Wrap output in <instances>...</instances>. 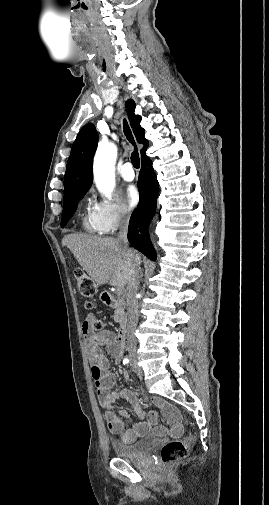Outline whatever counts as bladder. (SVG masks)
Segmentation results:
<instances>
[{"label": "bladder", "instance_id": "obj_1", "mask_svg": "<svg viewBox=\"0 0 269 505\" xmlns=\"http://www.w3.org/2000/svg\"><path fill=\"white\" fill-rule=\"evenodd\" d=\"M155 442L156 438L149 435L133 443L114 440L111 445L117 457L137 460L144 456L153 447Z\"/></svg>", "mask_w": 269, "mask_h": 505}]
</instances>
